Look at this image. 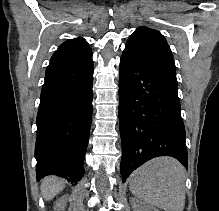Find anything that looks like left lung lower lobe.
Returning <instances> with one entry per match:
<instances>
[{
	"instance_id": "left-lung-lower-lobe-1",
	"label": "left lung lower lobe",
	"mask_w": 219,
	"mask_h": 211,
	"mask_svg": "<svg viewBox=\"0 0 219 211\" xmlns=\"http://www.w3.org/2000/svg\"><path fill=\"white\" fill-rule=\"evenodd\" d=\"M119 122L123 182L154 157L171 156L188 166L177 80L127 52L120 60Z\"/></svg>"
}]
</instances>
